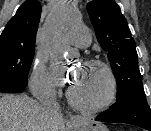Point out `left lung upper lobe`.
<instances>
[{"label":"left lung upper lobe","mask_w":151,"mask_h":131,"mask_svg":"<svg viewBox=\"0 0 151 131\" xmlns=\"http://www.w3.org/2000/svg\"><path fill=\"white\" fill-rule=\"evenodd\" d=\"M86 8L99 44L108 51L117 80L116 102L134 92H144L136 43L117 3L114 0H93Z\"/></svg>","instance_id":"left-lung-upper-lobe-1"}]
</instances>
